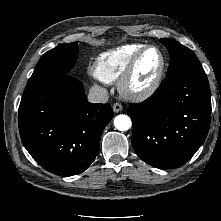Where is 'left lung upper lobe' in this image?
Wrapping results in <instances>:
<instances>
[{"instance_id": "obj_1", "label": "left lung upper lobe", "mask_w": 221, "mask_h": 221, "mask_svg": "<svg viewBox=\"0 0 221 221\" xmlns=\"http://www.w3.org/2000/svg\"><path fill=\"white\" fill-rule=\"evenodd\" d=\"M160 41L170 55V65L166 76L174 74L185 66L200 64L198 58L184 45L171 39H160Z\"/></svg>"}]
</instances>
